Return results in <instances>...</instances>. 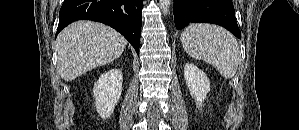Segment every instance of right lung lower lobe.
Masks as SVG:
<instances>
[{
    "mask_svg": "<svg viewBox=\"0 0 299 130\" xmlns=\"http://www.w3.org/2000/svg\"><path fill=\"white\" fill-rule=\"evenodd\" d=\"M143 0H64L57 34L77 20H93L119 31L139 55Z\"/></svg>",
    "mask_w": 299,
    "mask_h": 130,
    "instance_id": "98d812e1",
    "label": "right lung lower lobe"
}]
</instances>
